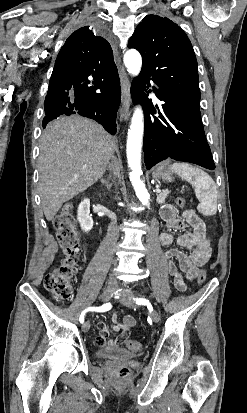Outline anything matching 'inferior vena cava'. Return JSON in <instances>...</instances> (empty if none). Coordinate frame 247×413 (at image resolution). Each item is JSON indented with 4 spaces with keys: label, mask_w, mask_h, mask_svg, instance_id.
Returning <instances> with one entry per match:
<instances>
[{
    "label": "inferior vena cava",
    "mask_w": 247,
    "mask_h": 413,
    "mask_svg": "<svg viewBox=\"0 0 247 413\" xmlns=\"http://www.w3.org/2000/svg\"><path fill=\"white\" fill-rule=\"evenodd\" d=\"M108 168H109V170H111L112 174H118L119 166H118V162H117L115 156H113V154H111V156H110V162L108 164ZM110 281H115V283H116V279H114L113 275H111Z\"/></svg>",
    "instance_id": "inferior-vena-cava-1"
}]
</instances>
